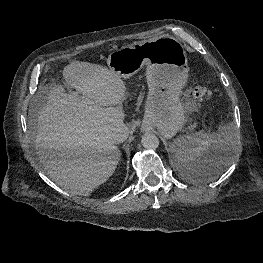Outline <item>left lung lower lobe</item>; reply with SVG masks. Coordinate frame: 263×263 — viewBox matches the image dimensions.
<instances>
[{"label":"left lung lower lobe","mask_w":263,"mask_h":263,"mask_svg":"<svg viewBox=\"0 0 263 263\" xmlns=\"http://www.w3.org/2000/svg\"><path fill=\"white\" fill-rule=\"evenodd\" d=\"M221 156L222 153L219 148H216L214 152L200 159L198 163H191L189 165L181 164V169L186 175L194 178H208L217 173L222 167Z\"/></svg>","instance_id":"0a47b994"}]
</instances>
